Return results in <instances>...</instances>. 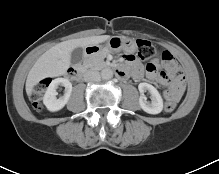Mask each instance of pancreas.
Returning a JSON list of instances; mask_svg holds the SVG:
<instances>
[{
	"instance_id": "1",
	"label": "pancreas",
	"mask_w": 219,
	"mask_h": 174,
	"mask_svg": "<svg viewBox=\"0 0 219 174\" xmlns=\"http://www.w3.org/2000/svg\"><path fill=\"white\" fill-rule=\"evenodd\" d=\"M109 54L108 51H101L89 58H87L84 62V67L90 69L100 70L106 66L104 62V58Z\"/></svg>"
}]
</instances>
